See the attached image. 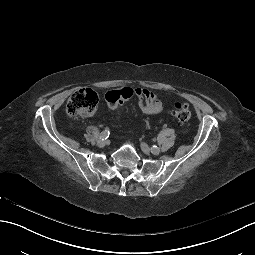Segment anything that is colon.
I'll return each instance as SVG.
<instances>
[{"label":"colon","instance_id":"obj_1","mask_svg":"<svg viewBox=\"0 0 255 255\" xmlns=\"http://www.w3.org/2000/svg\"><path fill=\"white\" fill-rule=\"evenodd\" d=\"M137 95V91L131 88H122L107 92L106 100L111 107H116L122 100ZM98 104V95L92 89H79L68 99L66 112L70 116H87L91 114ZM173 118L179 125H185L191 116L188 105L177 102L172 111Z\"/></svg>","mask_w":255,"mask_h":255}]
</instances>
